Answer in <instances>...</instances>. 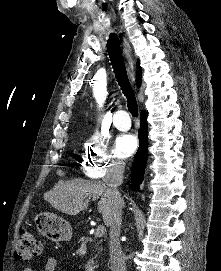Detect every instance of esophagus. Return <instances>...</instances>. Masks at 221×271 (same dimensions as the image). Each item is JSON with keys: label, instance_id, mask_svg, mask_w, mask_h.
<instances>
[{"label": "esophagus", "instance_id": "obj_1", "mask_svg": "<svg viewBox=\"0 0 221 271\" xmlns=\"http://www.w3.org/2000/svg\"><path fill=\"white\" fill-rule=\"evenodd\" d=\"M123 49H124V52H125L126 57H127V68H128V73H129L130 79L132 81H134L135 80L134 62H133V58H132V55H131L130 45H129L126 38L123 39Z\"/></svg>", "mask_w": 221, "mask_h": 271}]
</instances>
